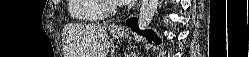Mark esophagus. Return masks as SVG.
Masks as SVG:
<instances>
[{"label":"esophagus","instance_id":"obj_1","mask_svg":"<svg viewBox=\"0 0 249 57\" xmlns=\"http://www.w3.org/2000/svg\"><path fill=\"white\" fill-rule=\"evenodd\" d=\"M140 3H141V1H140ZM140 3L138 4L137 8H139V6H140Z\"/></svg>","mask_w":249,"mask_h":57}]
</instances>
